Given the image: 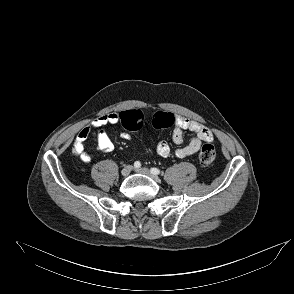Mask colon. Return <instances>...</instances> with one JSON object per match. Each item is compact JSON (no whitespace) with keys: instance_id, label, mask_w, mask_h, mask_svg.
<instances>
[{"instance_id":"obj_1","label":"colon","mask_w":294,"mask_h":294,"mask_svg":"<svg viewBox=\"0 0 294 294\" xmlns=\"http://www.w3.org/2000/svg\"><path fill=\"white\" fill-rule=\"evenodd\" d=\"M120 122L129 131H137L144 125L145 117L140 110H128L120 113ZM152 125L157 128H165L174 124V115L169 112H156L151 118ZM216 157V149L210 144H204L198 154L199 163L206 167L211 165Z\"/></svg>"}]
</instances>
